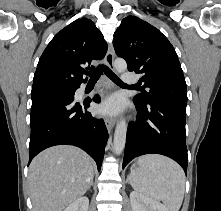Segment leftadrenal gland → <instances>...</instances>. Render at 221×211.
<instances>
[{"label": "left adrenal gland", "instance_id": "obj_1", "mask_svg": "<svg viewBox=\"0 0 221 211\" xmlns=\"http://www.w3.org/2000/svg\"><path fill=\"white\" fill-rule=\"evenodd\" d=\"M126 182H129V177H127V180H126Z\"/></svg>", "mask_w": 221, "mask_h": 211}]
</instances>
